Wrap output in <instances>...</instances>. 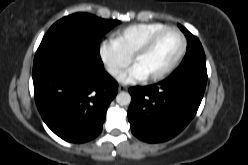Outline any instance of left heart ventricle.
<instances>
[{"mask_svg":"<svg viewBox=\"0 0 248 165\" xmlns=\"http://www.w3.org/2000/svg\"><path fill=\"white\" fill-rule=\"evenodd\" d=\"M180 48L179 35L173 31L166 32L146 54L136 60L135 64L140 65L148 77H151L166 69L176 58Z\"/></svg>","mask_w":248,"mask_h":165,"instance_id":"b2bd125f","label":"left heart ventricle"}]
</instances>
